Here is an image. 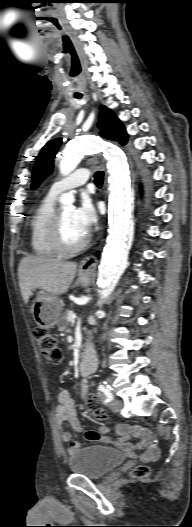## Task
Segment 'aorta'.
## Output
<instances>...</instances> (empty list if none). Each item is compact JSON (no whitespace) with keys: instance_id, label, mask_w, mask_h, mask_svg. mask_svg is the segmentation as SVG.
Returning a JSON list of instances; mask_svg holds the SVG:
<instances>
[{"instance_id":"aorta-1","label":"aorta","mask_w":192,"mask_h":527,"mask_svg":"<svg viewBox=\"0 0 192 527\" xmlns=\"http://www.w3.org/2000/svg\"><path fill=\"white\" fill-rule=\"evenodd\" d=\"M103 150L109 165V235L99 267L98 284L103 289L102 298H107L124 272L128 251L133 236L131 223V179L129 166L122 151L107 146L92 136L80 137L66 145L59 162L60 173L70 174L85 153ZM74 198L64 194L61 201L71 204Z\"/></svg>"}]
</instances>
